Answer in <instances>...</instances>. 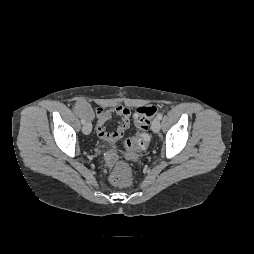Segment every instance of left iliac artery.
<instances>
[{"mask_svg":"<svg viewBox=\"0 0 254 254\" xmlns=\"http://www.w3.org/2000/svg\"><path fill=\"white\" fill-rule=\"evenodd\" d=\"M157 117L161 120L162 117H163V114H162V113H159V114L157 115Z\"/></svg>","mask_w":254,"mask_h":254,"instance_id":"44dca946","label":"left iliac artery"}]
</instances>
